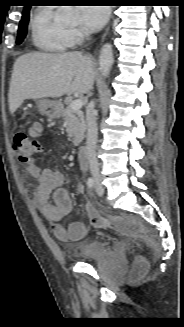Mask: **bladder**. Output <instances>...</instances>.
I'll return each mask as SVG.
<instances>
[{
	"label": "bladder",
	"mask_w": 184,
	"mask_h": 327,
	"mask_svg": "<svg viewBox=\"0 0 184 327\" xmlns=\"http://www.w3.org/2000/svg\"><path fill=\"white\" fill-rule=\"evenodd\" d=\"M81 261L98 262L104 258H111L115 261L116 267L125 269L127 262L124 258L116 255L114 249L101 240H93L81 244L74 249Z\"/></svg>",
	"instance_id": "bladder-1"
}]
</instances>
